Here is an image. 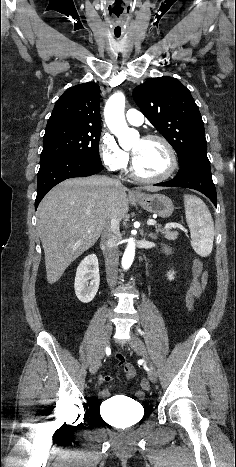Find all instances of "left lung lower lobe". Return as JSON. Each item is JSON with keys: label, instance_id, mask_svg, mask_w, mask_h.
I'll list each match as a JSON object with an SVG mask.
<instances>
[{"label": "left lung lower lobe", "instance_id": "1", "mask_svg": "<svg viewBox=\"0 0 236 467\" xmlns=\"http://www.w3.org/2000/svg\"><path fill=\"white\" fill-rule=\"evenodd\" d=\"M177 175L170 181L155 186H172L195 189L206 195L216 206L217 194L212 180L210 162L206 152H198L190 156L180 165Z\"/></svg>", "mask_w": 236, "mask_h": 467}]
</instances>
